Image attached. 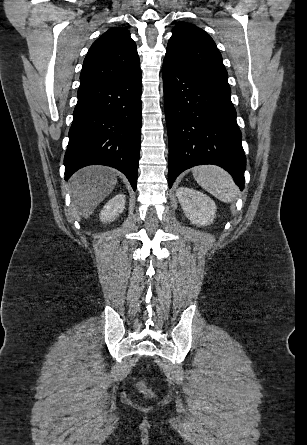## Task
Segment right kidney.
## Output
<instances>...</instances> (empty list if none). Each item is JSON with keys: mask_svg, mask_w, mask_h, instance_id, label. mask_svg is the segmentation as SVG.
Here are the masks:
<instances>
[{"mask_svg": "<svg viewBox=\"0 0 307 445\" xmlns=\"http://www.w3.org/2000/svg\"><path fill=\"white\" fill-rule=\"evenodd\" d=\"M125 198V194H116V196H113L104 204L100 212L102 223H112V220L119 216V212H122L125 208Z\"/></svg>", "mask_w": 307, "mask_h": 445, "instance_id": "obj_1", "label": "right kidney"}]
</instances>
